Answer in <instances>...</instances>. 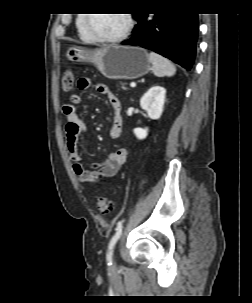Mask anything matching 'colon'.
<instances>
[{
  "label": "colon",
  "instance_id": "colon-1",
  "mask_svg": "<svg viewBox=\"0 0 252 303\" xmlns=\"http://www.w3.org/2000/svg\"><path fill=\"white\" fill-rule=\"evenodd\" d=\"M74 86L75 77L72 71L67 70L62 76V89L64 92H70L73 90ZM96 207L98 211L104 215L109 214L113 209L112 202L103 196L97 197Z\"/></svg>",
  "mask_w": 252,
  "mask_h": 303
}]
</instances>
